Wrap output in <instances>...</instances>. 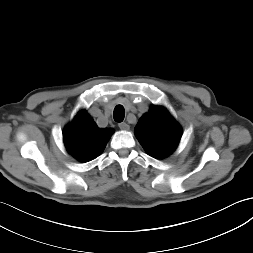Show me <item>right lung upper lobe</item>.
I'll use <instances>...</instances> for the list:
<instances>
[{"instance_id":"right-lung-upper-lobe-1","label":"right lung upper lobe","mask_w":253,"mask_h":253,"mask_svg":"<svg viewBox=\"0 0 253 253\" xmlns=\"http://www.w3.org/2000/svg\"><path fill=\"white\" fill-rule=\"evenodd\" d=\"M113 132L112 128L100 129L83 110L65 127L63 140L77 160L88 162L101 154Z\"/></svg>"}]
</instances>
